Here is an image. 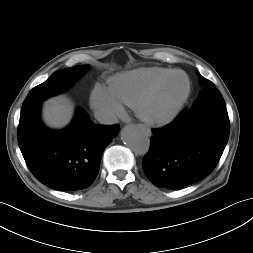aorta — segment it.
Masks as SVG:
<instances>
[{
  "mask_svg": "<svg viewBox=\"0 0 253 253\" xmlns=\"http://www.w3.org/2000/svg\"><path fill=\"white\" fill-rule=\"evenodd\" d=\"M121 138L124 144L136 154L144 155L149 151L150 138L144 129L137 125L126 126L121 133Z\"/></svg>",
  "mask_w": 253,
  "mask_h": 253,
  "instance_id": "aorta-1",
  "label": "aorta"
}]
</instances>
